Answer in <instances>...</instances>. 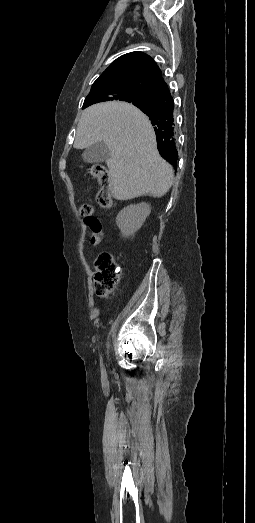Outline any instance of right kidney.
<instances>
[{"instance_id": "obj_1", "label": "right kidney", "mask_w": 255, "mask_h": 523, "mask_svg": "<svg viewBox=\"0 0 255 523\" xmlns=\"http://www.w3.org/2000/svg\"><path fill=\"white\" fill-rule=\"evenodd\" d=\"M150 212L151 208L145 202L123 208L116 218V224L120 228L123 238H129L140 230Z\"/></svg>"}]
</instances>
